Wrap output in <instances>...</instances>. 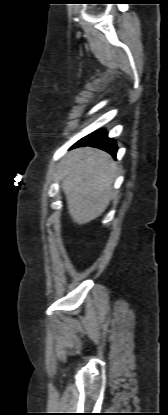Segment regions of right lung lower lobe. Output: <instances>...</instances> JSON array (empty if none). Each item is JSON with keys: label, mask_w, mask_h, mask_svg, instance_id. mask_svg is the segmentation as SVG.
<instances>
[{"label": "right lung lower lobe", "mask_w": 168, "mask_h": 415, "mask_svg": "<svg viewBox=\"0 0 168 415\" xmlns=\"http://www.w3.org/2000/svg\"><path fill=\"white\" fill-rule=\"evenodd\" d=\"M82 146L97 147L110 153L114 157L117 153L116 142L113 139L108 138L107 132L102 129H99L94 133H91L86 137L82 138L77 143H75L72 148Z\"/></svg>", "instance_id": "right-lung-lower-lobe-1"}]
</instances>
